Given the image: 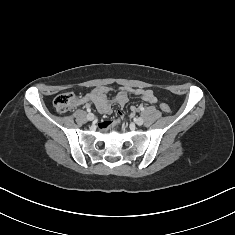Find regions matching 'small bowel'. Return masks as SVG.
<instances>
[{
  "label": "small bowel",
  "mask_w": 235,
  "mask_h": 235,
  "mask_svg": "<svg viewBox=\"0 0 235 235\" xmlns=\"http://www.w3.org/2000/svg\"><path fill=\"white\" fill-rule=\"evenodd\" d=\"M110 90L105 87H98L93 89L91 92L84 95L80 102H92L97 110L102 114H110L112 112V105L118 104L120 106H124L128 102V94L133 93L143 99L145 102L154 104L157 101L156 96L154 95L152 90L149 89H141V88H129L124 87L118 91L113 99L108 97ZM131 113L134 114L136 111L135 107L131 108ZM118 116L122 117V112H118ZM107 123L103 122L100 124V128H106Z\"/></svg>",
  "instance_id": "1"
}]
</instances>
